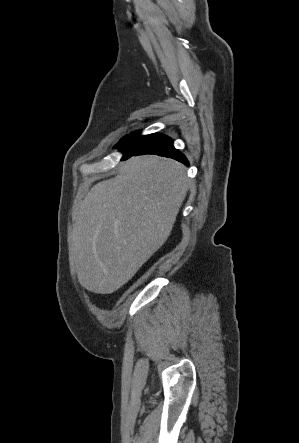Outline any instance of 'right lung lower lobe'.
Segmentation results:
<instances>
[{
	"instance_id": "obj_1",
	"label": "right lung lower lobe",
	"mask_w": 299,
	"mask_h": 443,
	"mask_svg": "<svg viewBox=\"0 0 299 443\" xmlns=\"http://www.w3.org/2000/svg\"><path fill=\"white\" fill-rule=\"evenodd\" d=\"M116 148L122 151V160L131 156L156 154L173 158L188 165L185 156L174 148L172 139L163 134L153 133L140 136L139 133H131L120 140Z\"/></svg>"
}]
</instances>
